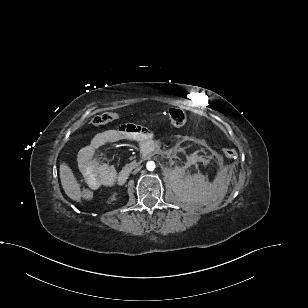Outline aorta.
Masks as SVG:
<instances>
[{
  "mask_svg": "<svg viewBox=\"0 0 308 308\" xmlns=\"http://www.w3.org/2000/svg\"><path fill=\"white\" fill-rule=\"evenodd\" d=\"M147 169H148L149 171L154 170V169H155V164H154V162H152V161L147 162Z\"/></svg>",
  "mask_w": 308,
  "mask_h": 308,
  "instance_id": "obj_1",
  "label": "aorta"
}]
</instances>
